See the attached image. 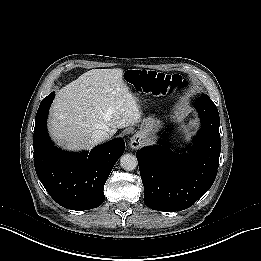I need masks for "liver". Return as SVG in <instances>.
Masks as SVG:
<instances>
[{
    "instance_id": "1",
    "label": "liver",
    "mask_w": 261,
    "mask_h": 261,
    "mask_svg": "<svg viewBox=\"0 0 261 261\" xmlns=\"http://www.w3.org/2000/svg\"><path fill=\"white\" fill-rule=\"evenodd\" d=\"M123 70L93 69L57 92L48 128L54 140L68 150L91 149L92 133L135 126L141 113L121 79Z\"/></svg>"
}]
</instances>
